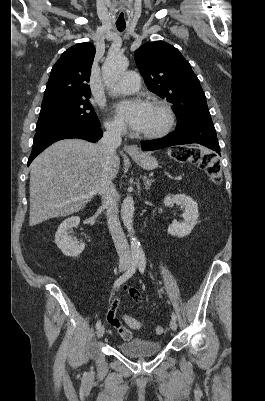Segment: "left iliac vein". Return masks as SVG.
Wrapping results in <instances>:
<instances>
[{
    "label": "left iliac vein",
    "mask_w": 265,
    "mask_h": 401,
    "mask_svg": "<svg viewBox=\"0 0 265 401\" xmlns=\"http://www.w3.org/2000/svg\"><path fill=\"white\" fill-rule=\"evenodd\" d=\"M170 328L172 329V331H176L177 330V323L176 320L172 319L170 321Z\"/></svg>",
    "instance_id": "left-iliac-vein-1"
}]
</instances>
